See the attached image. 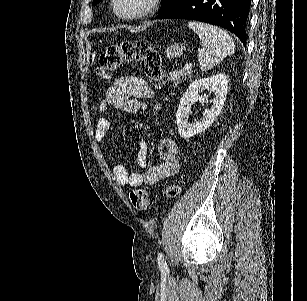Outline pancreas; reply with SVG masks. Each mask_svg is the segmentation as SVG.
Returning a JSON list of instances; mask_svg holds the SVG:
<instances>
[{"mask_svg": "<svg viewBox=\"0 0 307 301\" xmlns=\"http://www.w3.org/2000/svg\"><path fill=\"white\" fill-rule=\"evenodd\" d=\"M185 78H191V72H187V70H171L167 74V80H171L174 84H180Z\"/></svg>", "mask_w": 307, "mask_h": 301, "instance_id": "cf45deb5", "label": "pancreas"}]
</instances>
